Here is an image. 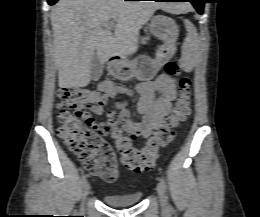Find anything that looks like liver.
Returning <instances> with one entry per match:
<instances>
[{"mask_svg":"<svg viewBox=\"0 0 260 217\" xmlns=\"http://www.w3.org/2000/svg\"><path fill=\"white\" fill-rule=\"evenodd\" d=\"M187 5L124 0H59L51 10L54 51L60 88L90 83L92 59L126 58L138 49V33L157 9L180 14ZM113 19L114 34L103 29Z\"/></svg>","mask_w":260,"mask_h":217,"instance_id":"1","label":"liver"}]
</instances>
